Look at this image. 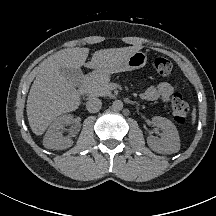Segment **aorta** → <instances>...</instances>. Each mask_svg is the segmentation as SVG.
<instances>
[{"label": "aorta", "instance_id": "762f6f07", "mask_svg": "<svg viewBox=\"0 0 216 216\" xmlns=\"http://www.w3.org/2000/svg\"><path fill=\"white\" fill-rule=\"evenodd\" d=\"M122 108H123V102L121 100H115L112 103V109L114 111H120V110H122Z\"/></svg>", "mask_w": 216, "mask_h": 216}]
</instances>
